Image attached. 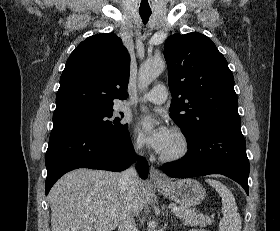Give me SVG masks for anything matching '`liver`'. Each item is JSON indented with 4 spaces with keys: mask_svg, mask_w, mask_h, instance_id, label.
<instances>
[{
    "mask_svg": "<svg viewBox=\"0 0 280 231\" xmlns=\"http://www.w3.org/2000/svg\"><path fill=\"white\" fill-rule=\"evenodd\" d=\"M117 171L73 169L53 185L52 231H113L123 213L139 215L146 203L145 183L123 191Z\"/></svg>",
    "mask_w": 280,
    "mask_h": 231,
    "instance_id": "1",
    "label": "liver"
}]
</instances>
